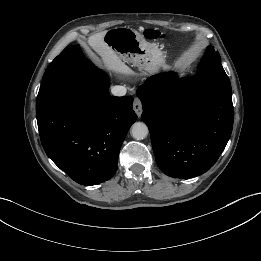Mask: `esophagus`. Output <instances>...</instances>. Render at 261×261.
Returning <instances> with one entry per match:
<instances>
[{
  "label": "esophagus",
  "mask_w": 261,
  "mask_h": 261,
  "mask_svg": "<svg viewBox=\"0 0 261 261\" xmlns=\"http://www.w3.org/2000/svg\"><path fill=\"white\" fill-rule=\"evenodd\" d=\"M133 110L135 111V113L137 114L138 117H140L143 112L142 103L138 97L134 98Z\"/></svg>",
  "instance_id": "esophagus-1"
}]
</instances>
